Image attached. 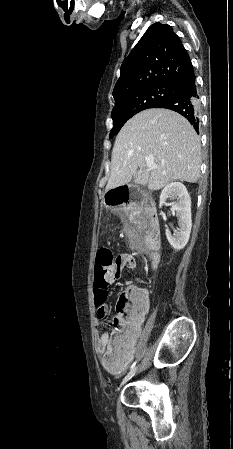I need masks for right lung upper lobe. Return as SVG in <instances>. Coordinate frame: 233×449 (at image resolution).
Masks as SVG:
<instances>
[{
    "instance_id": "obj_1",
    "label": "right lung upper lobe",
    "mask_w": 233,
    "mask_h": 449,
    "mask_svg": "<svg viewBox=\"0 0 233 449\" xmlns=\"http://www.w3.org/2000/svg\"><path fill=\"white\" fill-rule=\"evenodd\" d=\"M194 75L180 38L167 24H152L120 68L114 99L159 84L173 85Z\"/></svg>"
}]
</instances>
